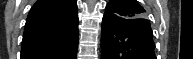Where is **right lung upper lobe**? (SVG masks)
Here are the masks:
<instances>
[{"instance_id": "cb5924a9", "label": "right lung upper lobe", "mask_w": 193, "mask_h": 59, "mask_svg": "<svg viewBox=\"0 0 193 59\" xmlns=\"http://www.w3.org/2000/svg\"><path fill=\"white\" fill-rule=\"evenodd\" d=\"M77 34L76 0H38L27 17L21 54L51 51Z\"/></svg>"}]
</instances>
